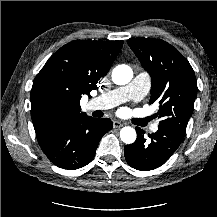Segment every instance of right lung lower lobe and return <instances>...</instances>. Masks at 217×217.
Wrapping results in <instances>:
<instances>
[{
    "instance_id": "obj_1",
    "label": "right lung lower lobe",
    "mask_w": 217,
    "mask_h": 217,
    "mask_svg": "<svg viewBox=\"0 0 217 217\" xmlns=\"http://www.w3.org/2000/svg\"><path fill=\"white\" fill-rule=\"evenodd\" d=\"M108 118L79 117L73 121L36 131L38 143L56 166L74 170L87 165L94 157L102 136L111 130Z\"/></svg>"
}]
</instances>
